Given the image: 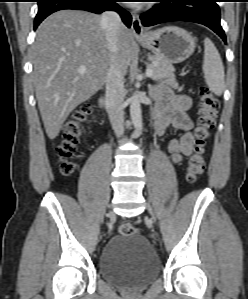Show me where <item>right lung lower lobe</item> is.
<instances>
[{
	"label": "right lung lower lobe",
	"mask_w": 248,
	"mask_h": 299,
	"mask_svg": "<svg viewBox=\"0 0 248 299\" xmlns=\"http://www.w3.org/2000/svg\"><path fill=\"white\" fill-rule=\"evenodd\" d=\"M118 0H38L39 10L35 17L34 29L50 14L63 9L86 10L96 14L116 11L127 27L131 26V15L121 8Z\"/></svg>",
	"instance_id": "98d812e1"
}]
</instances>
